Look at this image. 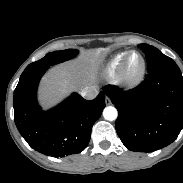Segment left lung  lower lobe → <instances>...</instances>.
<instances>
[{
  "label": "left lung lower lobe",
  "instance_id": "0a47b994",
  "mask_svg": "<svg viewBox=\"0 0 183 183\" xmlns=\"http://www.w3.org/2000/svg\"><path fill=\"white\" fill-rule=\"evenodd\" d=\"M104 91L118 110L117 134L131 151L166 147L183 128V76L176 64L148 72L131 90L109 85Z\"/></svg>",
  "mask_w": 183,
  "mask_h": 183
}]
</instances>
